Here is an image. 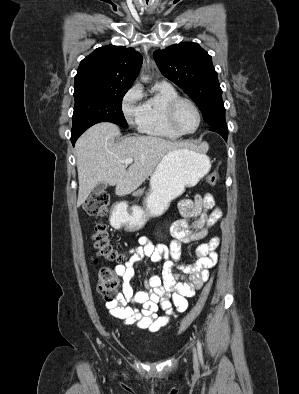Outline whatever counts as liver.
<instances>
[{"label":"liver","mask_w":299,"mask_h":394,"mask_svg":"<svg viewBox=\"0 0 299 394\" xmlns=\"http://www.w3.org/2000/svg\"><path fill=\"white\" fill-rule=\"evenodd\" d=\"M119 134L117 125L102 122L90 127L77 140L78 207L99 183L116 185L119 196L130 194L153 174L168 152L185 146L182 142L154 136L126 137L115 143ZM127 158L134 159L128 168L124 163Z\"/></svg>","instance_id":"obj_1"}]
</instances>
